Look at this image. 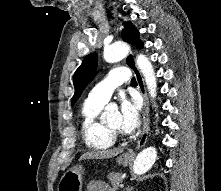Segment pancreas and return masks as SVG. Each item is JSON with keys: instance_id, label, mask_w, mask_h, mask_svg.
Returning <instances> with one entry per match:
<instances>
[{"instance_id": "obj_1", "label": "pancreas", "mask_w": 221, "mask_h": 191, "mask_svg": "<svg viewBox=\"0 0 221 191\" xmlns=\"http://www.w3.org/2000/svg\"><path fill=\"white\" fill-rule=\"evenodd\" d=\"M108 179H109L111 185H112L115 189H117V188L120 186V184L122 183V181H123V177H122V175L119 174V173H110V174L108 175Z\"/></svg>"}]
</instances>
